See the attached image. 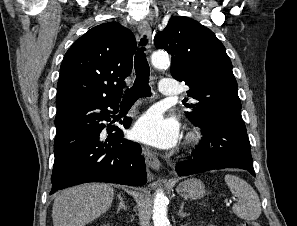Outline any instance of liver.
Masks as SVG:
<instances>
[{
  "instance_id": "obj_1",
  "label": "liver",
  "mask_w": 297,
  "mask_h": 226,
  "mask_svg": "<svg viewBox=\"0 0 297 226\" xmlns=\"http://www.w3.org/2000/svg\"><path fill=\"white\" fill-rule=\"evenodd\" d=\"M114 189L108 184H84L62 191L54 200L53 226H85L108 211Z\"/></svg>"
}]
</instances>
